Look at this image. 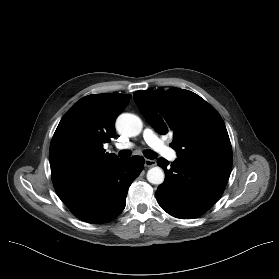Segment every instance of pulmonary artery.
<instances>
[{
    "instance_id": "obj_1",
    "label": "pulmonary artery",
    "mask_w": 279,
    "mask_h": 279,
    "mask_svg": "<svg viewBox=\"0 0 279 279\" xmlns=\"http://www.w3.org/2000/svg\"><path fill=\"white\" fill-rule=\"evenodd\" d=\"M143 138L145 142L157 153L163 155L167 159L174 161L177 158V153L170 149L151 128H146L143 131ZM132 143L119 145V149H126L132 147Z\"/></svg>"
}]
</instances>
